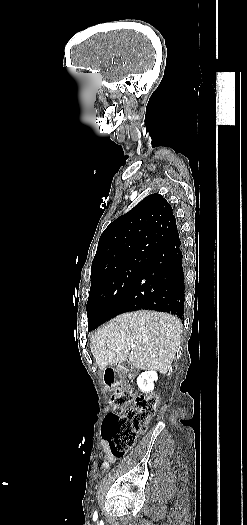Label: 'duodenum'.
Instances as JSON below:
<instances>
[{
    "label": "duodenum",
    "mask_w": 247,
    "mask_h": 525,
    "mask_svg": "<svg viewBox=\"0 0 247 525\" xmlns=\"http://www.w3.org/2000/svg\"><path fill=\"white\" fill-rule=\"evenodd\" d=\"M127 369V363L121 362L116 368H108L104 373V383L111 388L119 383L123 370Z\"/></svg>",
    "instance_id": "1"
}]
</instances>
